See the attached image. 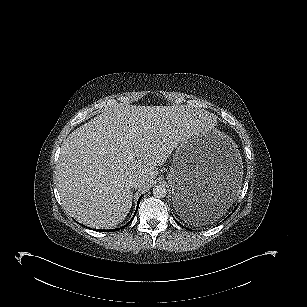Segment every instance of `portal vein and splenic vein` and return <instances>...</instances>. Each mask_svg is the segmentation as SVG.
<instances>
[{"mask_svg":"<svg viewBox=\"0 0 307 307\" xmlns=\"http://www.w3.org/2000/svg\"><path fill=\"white\" fill-rule=\"evenodd\" d=\"M128 159L133 160V156L130 155V156L128 157Z\"/></svg>","mask_w":307,"mask_h":307,"instance_id":"1","label":"portal vein and splenic vein"}]
</instances>
